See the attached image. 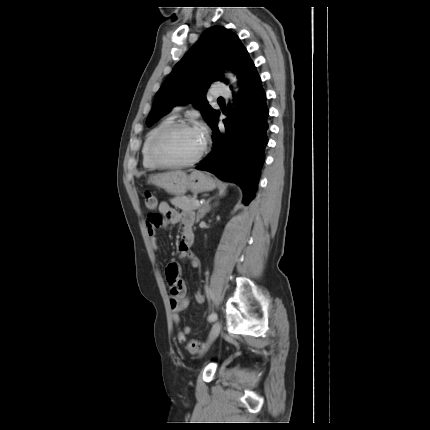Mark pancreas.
Returning a JSON list of instances; mask_svg holds the SVG:
<instances>
[{"instance_id":"1","label":"pancreas","mask_w":430,"mask_h":430,"mask_svg":"<svg viewBox=\"0 0 430 430\" xmlns=\"http://www.w3.org/2000/svg\"><path fill=\"white\" fill-rule=\"evenodd\" d=\"M196 197L176 196L170 200L171 204L182 210H196L198 207L194 204Z\"/></svg>"}]
</instances>
